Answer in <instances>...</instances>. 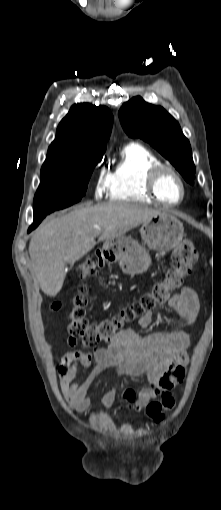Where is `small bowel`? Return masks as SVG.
<instances>
[{"label":"small bowel","instance_id":"1","mask_svg":"<svg viewBox=\"0 0 221 510\" xmlns=\"http://www.w3.org/2000/svg\"><path fill=\"white\" fill-rule=\"evenodd\" d=\"M169 306L175 312L174 321H186L190 326L197 323L200 304L197 293L191 287L183 286L170 298ZM138 322L142 328H150L154 316L146 312ZM191 340L188 331L140 336L131 329H125L114 342L97 347L92 352L67 351L57 367L61 391L77 411H86L90 407L88 390L101 373L114 369L117 382L100 400L103 408H110L116 401L122 377L144 375L149 386L138 394L128 389L124 395L130 408L140 412L151 400L164 395L172 396L174 386L184 378ZM77 344L76 338L67 339L68 346L75 347ZM81 368H89L90 371L82 381H77Z\"/></svg>","mask_w":221,"mask_h":510}]
</instances>
